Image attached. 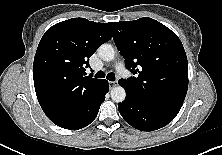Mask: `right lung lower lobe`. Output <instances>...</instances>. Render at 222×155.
<instances>
[{
    "mask_svg": "<svg viewBox=\"0 0 222 155\" xmlns=\"http://www.w3.org/2000/svg\"><path fill=\"white\" fill-rule=\"evenodd\" d=\"M108 90V81L101 80L94 88L71 99L53 102L47 96H38V101L54 124L65 129L78 130L96 118Z\"/></svg>",
    "mask_w": 222,
    "mask_h": 155,
    "instance_id": "98d812e1",
    "label": "right lung lower lobe"
}]
</instances>
